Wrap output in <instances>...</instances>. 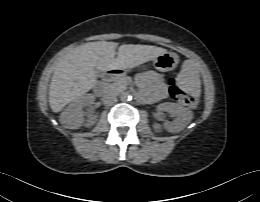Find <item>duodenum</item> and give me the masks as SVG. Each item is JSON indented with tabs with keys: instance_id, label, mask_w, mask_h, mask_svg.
<instances>
[{
	"instance_id": "1",
	"label": "duodenum",
	"mask_w": 260,
	"mask_h": 202,
	"mask_svg": "<svg viewBox=\"0 0 260 202\" xmlns=\"http://www.w3.org/2000/svg\"><path fill=\"white\" fill-rule=\"evenodd\" d=\"M122 74H123V70H122V69L116 68V67H112V68L108 69V70L106 71V73L104 74V79H103V81H104V82L111 81V80H113L114 78H116V77H118V76H120V75H122ZM95 88H96L97 90H101L100 84H99V85H96Z\"/></svg>"
}]
</instances>
